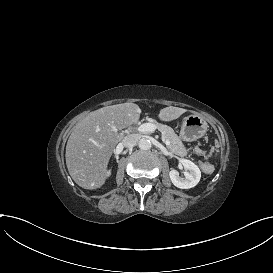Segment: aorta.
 <instances>
[{"label": "aorta", "instance_id": "762f6f07", "mask_svg": "<svg viewBox=\"0 0 273 273\" xmlns=\"http://www.w3.org/2000/svg\"><path fill=\"white\" fill-rule=\"evenodd\" d=\"M138 145H139V148L144 151L149 150L151 148V142L150 140L146 138L140 139Z\"/></svg>", "mask_w": 273, "mask_h": 273}]
</instances>
